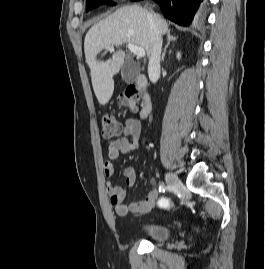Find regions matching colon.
Here are the masks:
<instances>
[{
  "label": "colon",
  "mask_w": 265,
  "mask_h": 269,
  "mask_svg": "<svg viewBox=\"0 0 265 269\" xmlns=\"http://www.w3.org/2000/svg\"><path fill=\"white\" fill-rule=\"evenodd\" d=\"M139 100V89L136 86H130L125 93L118 97V105L124 109H136ZM122 133V126L114 115L106 113L102 116V137L111 141ZM161 207H170V201L162 198L159 202Z\"/></svg>",
  "instance_id": "1"
}]
</instances>
